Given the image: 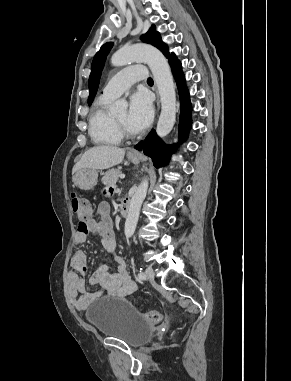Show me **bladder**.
Listing matches in <instances>:
<instances>
[{
    "mask_svg": "<svg viewBox=\"0 0 291 381\" xmlns=\"http://www.w3.org/2000/svg\"><path fill=\"white\" fill-rule=\"evenodd\" d=\"M87 316L100 334L122 340L132 347L149 341L155 330V326L124 298L98 302L88 309Z\"/></svg>",
    "mask_w": 291,
    "mask_h": 381,
    "instance_id": "bladder-1",
    "label": "bladder"
}]
</instances>
